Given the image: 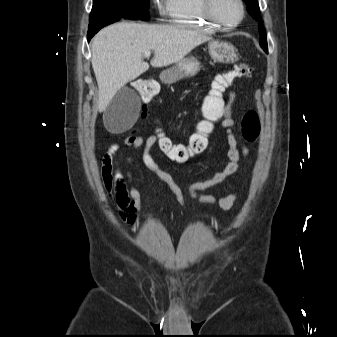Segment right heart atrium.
Listing matches in <instances>:
<instances>
[{
  "label": "right heart atrium",
  "instance_id": "right-heart-atrium-1",
  "mask_svg": "<svg viewBox=\"0 0 337 337\" xmlns=\"http://www.w3.org/2000/svg\"><path fill=\"white\" fill-rule=\"evenodd\" d=\"M155 2H157V4L159 5L160 10H164V6L162 5V3L159 0H155Z\"/></svg>",
  "mask_w": 337,
  "mask_h": 337
}]
</instances>
